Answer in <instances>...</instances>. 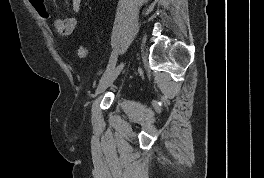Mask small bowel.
Listing matches in <instances>:
<instances>
[{"instance_id":"obj_1","label":"small bowel","mask_w":264,"mask_h":178,"mask_svg":"<svg viewBox=\"0 0 264 178\" xmlns=\"http://www.w3.org/2000/svg\"><path fill=\"white\" fill-rule=\"evenodd\" d=\"M82 0H71L72 13L66 18H53L51 24L61 36H69L78 24V15L81 9Z\"/></svg>"}]
</instances>
